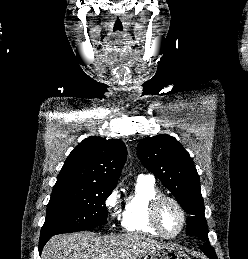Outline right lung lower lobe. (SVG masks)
Returning a JSON list of instances; mask_svg holds the SVG:
<instances>
[{
    "mask_svg": "<svg viewBox=\"0 0 248 259\" xmlns=\"http://www.w3.org/2000/svg\"><path fill=\"white\" fill-rule=\"evenodd\" d=\"M52 237V235L49 236H42L40 237V241H39V253H41L44 245L46 244V242Z\"/></svg>",
    "mask_w": 248,
    "mask_h": 259,
    "instance_id": "obj_1",
    "label": "right lung lower lobe"
}]
</instances>
